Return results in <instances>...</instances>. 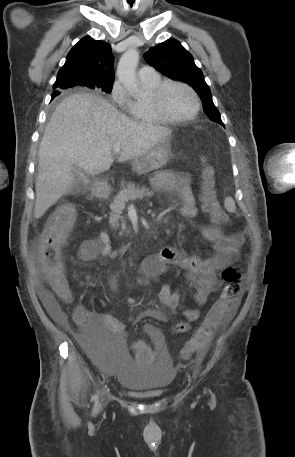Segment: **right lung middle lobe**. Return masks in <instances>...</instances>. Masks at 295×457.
<instances>
[{
  "label": "right lung middle lobe",
  "mask_w": 295,
  "mask_h": 457,
  "mask_svg": "<svg viewBox=\"0 0 295 457\" xmlns=\"http://www.w3.org/2000/svg\"><path fill=\"white\" fill-rule=\"evenodd\" d=\"M73 86H77V85L76 84L68 85V87H73ZM112 87H113V84H107V85H103V86L93 87V89L100 88L102 91H105L106 93H111ZM57 95H59V94H57Z\"/></svg>",
  "instance_id": "dd1d6c3e"
}]
</instances>
